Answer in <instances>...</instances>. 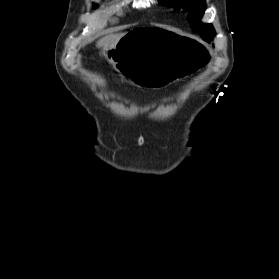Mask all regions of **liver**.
<instances>
[{"mask_svg":"<svg viewBox=\"0 0 279 279\" xmlns=\"http://www.w3.org/2000/svg\"><path fill=\"white\" fill-rule=\"evenodd\" d=\"M123 35L124 34L122 33L107 35L101 38L100 40H98L96 45L97 47L104 48V49L114 47L119 42V40Z\"/></svg>","mask_w":279,"mask_h":279,"instance_id":"obj_1","label":"liver"}]
</instances>
